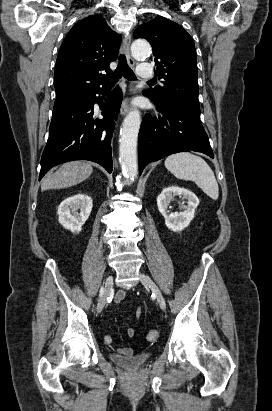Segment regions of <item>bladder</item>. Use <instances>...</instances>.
<instances>
[{"label":"bladder","instance_id":"1","mask_svg":"<svg viewBox=\"0 0 272 411\" xmlns=\"http://www.w3.org/2000/svg\"><path fill=\"white\" fill-rule=\"evenodd\" d=\"M151 353L145 352L133 356L112 355L111 360L128 371H137L144 367V365L151 358Z\"/></svg>","mask_w":272,"mask_h":411}]
</instances>
